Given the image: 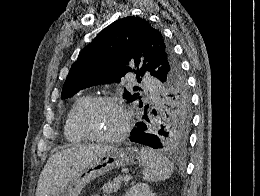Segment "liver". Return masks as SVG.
Masks as SVG:
<instances>
[{
  "instance_id": "liver-1",
  "label": "liver",
  "mask_w": 260,
  "mask_h": 196,
  "mask_svg": "<svg viewBox=\"0 0 260 196\" xmlns=\"http://www.w3.org/2000/svg\"><path fill=\"white\" fill-rule=\"evenodd\" d=\"M107 146L82 144L69 150H61L50 156L38 180L35 196H55L75 178L81 168H87L93 158L103 154Z\"/></svg>"
}]
</instances>
